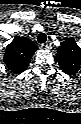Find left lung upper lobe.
I'll return each mask as SVG.
<instances>
[{"instance_id":"obj_1","label":"left lung upper lobe","mask_w":81,"mask_h":124,"mask_svg":"<svg viewBox=\"0 0 81 124\" xmlns=\"http://www.w3.org/2000/svg\"><path fill=\"white\" fill-rule=\"evenodd\" d=\"M57 61L63 72L74 76L81 72V48L73 38H67L58 48Z\"/></svg>"}]
</instances>
